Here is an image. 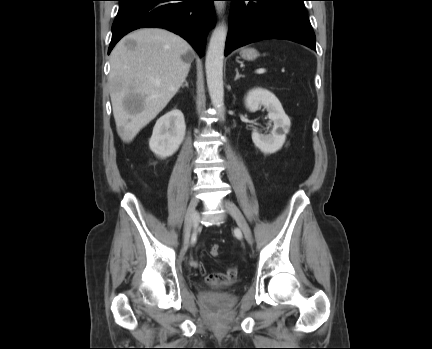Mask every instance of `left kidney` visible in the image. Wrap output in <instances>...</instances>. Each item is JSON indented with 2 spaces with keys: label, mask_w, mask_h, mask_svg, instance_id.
I'll list each match as a JSON object with an SVG mask.
<instances>
[{
  "label": "left kidney",
  "mask_w": 432,
  "mask_h": 349,
  "mask_svg": "<svg viewBox=\"0 0 432 349\" xmlns=\"http://www.w3.org/2000/svg\"><path fill=\"white\" fill-rule=\"evenodd\" d=\"M245 105L251 112L256 111L259 105H263L268 111L269 119L273 122L270 134L264 135L253 130L252 141L255 146L266 154L280 150L285 143L291 122L278 98L267 89L254 88L247 93Z\"/></svg>",
  "instance_id": "5707ae66"
}]
</instances>
